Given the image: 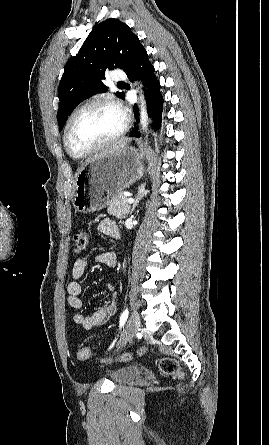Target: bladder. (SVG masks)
I'll use <instances>...</instances> for the list:
<instances>
[{"label": "bladder", "mask_w": 269, "mask_h": 445, "mask_svg": "<svg viewBox=\"0 0 269 445\" xmlns=\"http://www.w3.org/2000/svg\"><path fill=\"white\" fill-rule=\"evenodd\" d=\"M141 372L139 366L130 365L114 370L110 374V379L117 384L127 383L136 378Z\"/></svg>", "instance_id": "bladder-1"}]
</instances>
